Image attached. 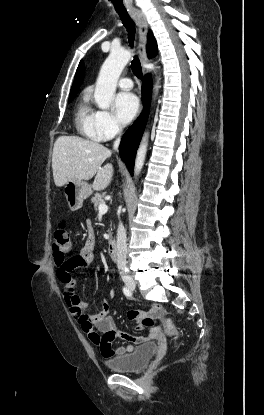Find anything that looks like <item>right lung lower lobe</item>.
I'll return each mask as SVG.
<instances>
[{
	"mask_svg": "<svg viewBox=\"0 0 264 415\" xmlns=\"http://www.w3.org/2000/svg\"><path fill=\"white\" fill-rule=\"evenodd\" d=\"M152 93V80L150 75H146L142 81V99L144 103V110L136 122L129 127L123 135L120 144V155L126 162V165L133 175L134 159L137 148L139 146L142 134L144 132L146 122L149 115L150 101Z\"/></svg>",
	"mask_w": 264,
	"mask_h": 415,
	"instance_id": "obj_1",
	"label": "right lung lower lobe"
}]
</instances>
